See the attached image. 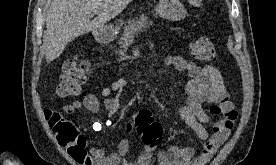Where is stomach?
<instances>
[{
  "mask_svg": "<svg viewBox=\"0 0 276 165\" xmlns=\"http://www.w3.org/2000/svg\"><path fill=\"white\" fill-rule=\"evenodd\" d=\"M155 11L160 17L170 21H180L187 15L184 5L179 0H159ZM121 25L122 20L116 26H103L96 29L93 35L98 41H111L116 37Z\"/></svg>",
  "mask_w": 276,
  "mask_h": 165,
  "instance_id": "obj_1",
  "label": "stomach"
}]
</instances>
